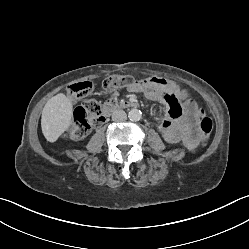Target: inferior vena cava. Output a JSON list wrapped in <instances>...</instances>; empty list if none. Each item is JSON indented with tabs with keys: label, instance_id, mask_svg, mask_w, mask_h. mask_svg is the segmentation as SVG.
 I'll return each mask as SVG.
<instances>
[{
	"label": "inferior vena cava",
	"instance_id": "602c4592",
	"mask_svg": "<svg viewBox=\"0 0 249 249\" xmlns=\"http://www.w3.org/2000/svg\"><path fill=\"white\" fill-rule=\"evenodd\" d=\"M126 119H127V115L125 111L123 110H115L112 113V120L115 122H122V121H125Z\"/></svg>",
	"mask_w": 249,
	"mask_h": 249
}]
</instances>
